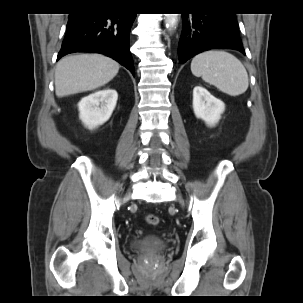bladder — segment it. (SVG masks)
Listing matches in <instances>:
<instances>
[{
	"instance_id": "bladder-1",
	"label": "bladder",
	"mask_w": 303,
	"mask_h": 303,
	"mask_svg": "<svg viewBox=\"0 0 303 303\" xmlns=\"http://www.w3.org/2000/svg\"><path fill=\"white\" fill-rule=\"evenodd\" d=\"M130 246L142 252H153L156 250L164 249L168 246V243L162 237L147 234L140 240H134L130 243Z\"/></svg>"
}]
</instances>
